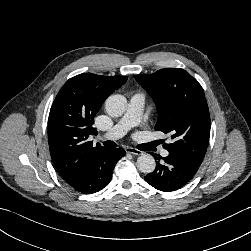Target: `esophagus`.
I'll use <instances>...</instances> for the list:
<instances>
[{
  "label": "esophagus",
  "instance_id": "obj_1",
  "mask_svg": "<svg viewBox=\"0 0 251 251\" xmlns=\"http://www.w3.org/2000/svg\"><path fill=\"white\" fill-rule=\"evenodd\" d=\"M126 152H127V153H130V154H133V155H137V156L143 154L142 151H140V150H138V149H135V148H132V147H127V148H126Z\"/></svg>",
  "mask_w": 251,
  "mask_h": 251
}]
</instances>
